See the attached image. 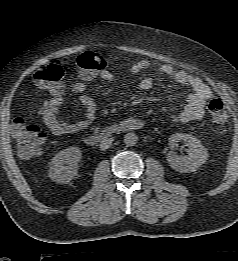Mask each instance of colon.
Returning <instances> with one entry per match:
<instances>
[{
	"label": "colon",
	"instance_id": "obj_1",
	"mask_svg": "<svg viewBox=\"0 0 238 261\" xmlns=\"http://www.w3.org/2000/svg\"><path fill=\"white\" fill-rule=\"evenodd\" d=\"M102 56L93 52H85L77 57L72 69L76 73L87 75L96 74L105 67ZM65 68L60 62H51L34 75L36 83L52 93L63 91V78ZM208 115L217 134L227 130V110L219 99L209 102ZM12 134L17 145L18 153L23 158H31L39 154L41 146L46 139V133L38 126L27 123L22 117H17L12 123Z\"/></svg>",
	"mask_w": 238,
	"mask_h": 261
}]
</instances>
